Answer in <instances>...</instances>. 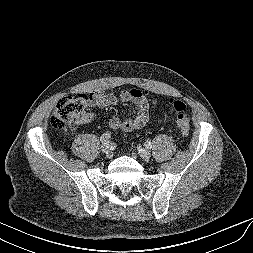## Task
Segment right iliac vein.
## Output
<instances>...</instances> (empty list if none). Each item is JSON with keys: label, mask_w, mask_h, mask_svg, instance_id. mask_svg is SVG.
Wrapping results in <instances>:
<instances>
[{"label": "right iliac vein", "mask_w": 253, "mask_h": 253, "mask_svg": "<svg viewBox=\"0 0 253 253\" xmlns=\"http://www.w3.org/2000/svg\"><path fill=\"white\" fill-rule=\"evenodd\" d=\"M101 150L103 153L107 155V157H110L112 154V145L110 142H105L101 145Z\"/></svg>", "instance_id": "obj_1"}]
</instances>
